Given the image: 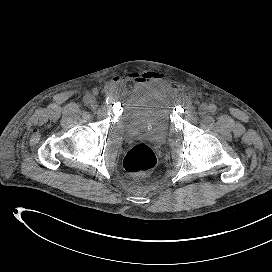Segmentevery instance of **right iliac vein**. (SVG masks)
Returning a JSON list of instances; mask_svg holds the SVG:
<instances>
[{
  "instance_id": "1",
  "label": "right iliac vein",
  "mask_w": 272,
  "mask_h": 272,
  "mask_svg": "<svg viewBox=\"0 0 272 272\" xmlns=\"http://www.w3.org/2000/svg\"><path fill=\"white\" fill-rule=\"evenodd\" d=\"M90 105L92 108H95L97 106V101L94 97H90Z\"/></svg>"
}]
</instances>
